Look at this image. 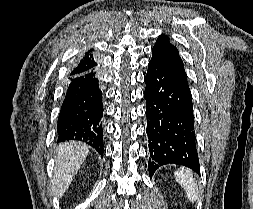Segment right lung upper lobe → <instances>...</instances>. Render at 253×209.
Returning <instances> with one entry per match:
<instances>
[{"label": "right lung upper lobe", "mask_w": 253, "mask_h": 209, "mask_svg": "<svg viewBox=\"0 0 253 209\" xmlns=\"http://www.w3.org/2000/svg\"><path fill=\"white\" fill-rule=\"evenodd\" d=\"M93 51L94 49H90L82 56V58L77 62L76 67L70 73L71 77L97 70V58L94 57Z\"/></svg>", "instance_id": "1"}]
</instances>
